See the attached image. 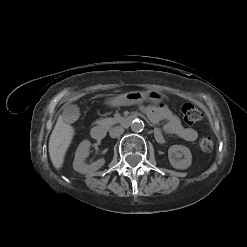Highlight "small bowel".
Here are the masks:
<instances>
[{"mask_svg": "<svg viewBox=\"0 0 247 247\" xmlns=\"http://www.w3.org/2000/svg\"><path fill=\"white\" fill-rule=\"evenodd\" d=\"M96 109L101 113L105 108L100 104ZM143 110L152 123L156 124L160 121H165L163 129H156L154 132V136L157 142L164 143L165 139L163 132L176 135L181 139L189 142L195 141L197 139V131L194 128L183 126L179 117L168 107L163 105L149 106L145 107Z\"/></svg>", "mask_w": 247, "mask_h": 247, "instance_id": "1", "label": "small bowel"}]
</instances>
